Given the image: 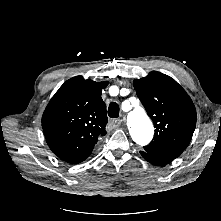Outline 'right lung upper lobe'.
<instances>
[{
    "label": "right lung upper lobe",
    "mask_w": 221,
    "mask_h": 221,
    "mask_svg": "<svg viewBox=\"0 0 221 221\" xmlns=\"http://www.w3.org/2000/svg\"><path fill=\"white\" fill-rule=\"evenodd\" d=\"M107 82L67 80L52 97L42 116V128L50 149L60 159L77 164L89 157L106 134V105L101 98Z\"/></svg>",
    "instance_id": "right-lung-upper-lobe-1"
}]
</instances>
